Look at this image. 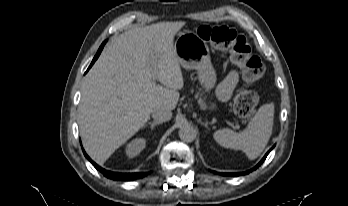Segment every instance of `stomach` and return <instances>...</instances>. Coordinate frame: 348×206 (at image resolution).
<instances>
[{
  "label": "stomach",
  "instance_id": "1",
  "mask_svg": "<svg viewBox=\"0 0 348 206\" xmlns=\"http://www.w3.org/2000/svg\"><path fill=\"white\" fill-rule=\"evenodd\" d=\"M174 50L179 60V64L185 69L197 70L198 80L205 88L210 91L216 84V73L210 60L209 48L205 41L201 40L195 33H180L175 44ZM205 109L214 110L216 103L205 104Z\"/></svg>",
  "mask_w": 348,
  "mask_h": 206
}]
</instances>
